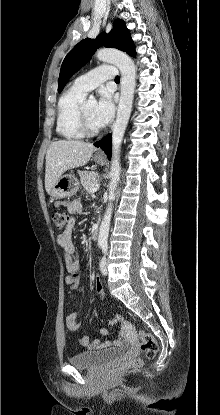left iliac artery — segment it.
Returning <instances> with one entry per match:
<instances>
[{
    "instance_id": "44dca946",
    "label": "left iliac artery",
    "mask_w": 220,
    "mask_h": 415,
    "mask_svg": "<svg viewBox=\"0 0 220 415\" xmlns=\"http://www.w3.org/2000/svg\"><path fill=\"white\" fill-rule=\"evenodd\" d=\"M101 248L103 250V253L106 254L107 253V244H102Z\"/></svg>"
}]
</instances>
